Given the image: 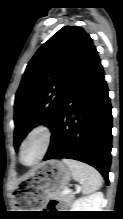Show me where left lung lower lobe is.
<instances>
[{
	"instance_id": "0a47b994",
	"label": "left lung lower lobe",
	"mask_w": 123,
	"mask_h": 219,
	"mask_svg": "<svg viewBox=\"0 0 123 219\" xmlns=\"http://www.w3.org/2000/svg\"><path fill=\"white\" fill-rule=\"evenodd\" d=\"M111 109L103 67L96 57L78 77L62 105L43 160L67 158L87 163L108 183Z\"/></svg>"
}]
</instances>
